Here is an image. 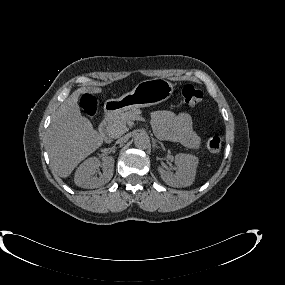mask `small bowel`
I'll list each match as a JSON object with an SVG mask.
<instances>
[{"label":"small bowel","instance_id":"c3829d8e","mask_svg":"<svg viewBox=\"0 0 285 285\" xmlns=\"http://www.w3.org/2000/svg\"><path fill=\"white\" fill-rule=\"evenodd\" d=\"M152 126L155 134L163 139L179 142L196 149L201 140L193 128L192 119L187 113L175 114L168 110L155 111L152 114Z\"/></svg>","mask_w":285,"mask_h":285}]
</instances>
